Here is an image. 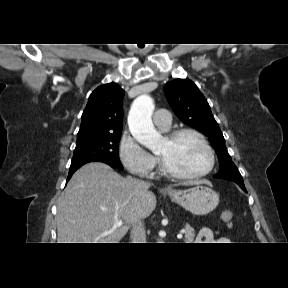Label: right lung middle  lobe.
I'll list each match as a JSON object with an SVG mask.
<instances>
[{
	"instance_id": "right-lung-middle-lobe-1",
	"label": "right lung middle lobe",
	"mask_w": 288,
	"mask_h": 288,
	"mask_svg": "<svg viewBox=\"0 0 288 288\" xmlns=\"http://www.w3.org/2000/svg\"><path fill=\"white\" fill-rule=\"evenodd\" d=\"M121 133H113L78 140L71 165L92 160H101L118 169H123L118 155Z\"/></svg>"
}]
</instances>
